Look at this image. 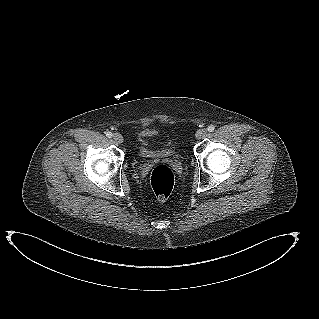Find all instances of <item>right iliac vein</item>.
<instances>
[{"label":"right iliac vein","instance_id":"right-iliac-vein-1","mask_svg":"<svg viewBox=\"0 0 319 319\" xmlns=\"http://www.w3.org/2000/svg\"><path fill=\"white\" fill-rule=\"evenodd\" d=\"M113 139L117 142V143H122L123 142V136L119 133H115L113 136Z\"/></svg>","mask_w":319,"mask_h":319}]
</instances>
